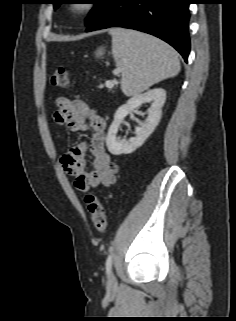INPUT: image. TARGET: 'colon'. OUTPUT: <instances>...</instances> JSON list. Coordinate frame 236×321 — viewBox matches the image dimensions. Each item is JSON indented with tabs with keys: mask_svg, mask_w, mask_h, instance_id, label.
<instances>
[{
	"mask_svg": "<svg viewBox=\"0 0 236 321\" xmlns=\"http://www.w3.org/2000/svg\"><path fill=\"white\" fill-rule=\"evenodd\" d=\"M50 83L56 87H70L67 70L64 67H57L50 76ZM85 202L95 230L100 233L104 232L107 228V218L101 198L95 193H88L85 197Z\"/></svg>",
	"mask_w": 236,
	"mask_h": 321,
	"instance_id": "colon-1",
	"label": "colon"
}]
</instances>
